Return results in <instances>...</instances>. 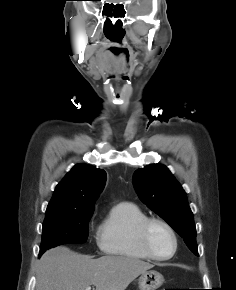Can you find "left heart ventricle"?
<instances>
[{"label": "left heart ventricle", "instance_id": "left-heart-ventricle-1", "mask_svg": "<svg viewBox=\"0 0 236 290\" xmlns=\"http://www.w3.org/2000/svg\"><path fill=\"white\" fill-rule=\"evenodd\" d=\"M150 244L159 256H168L174 248V243L169 232L161 225H154L150 231Z\"/></svg>", "mask_w": 236, "mask_h": 290}]
</instances>
